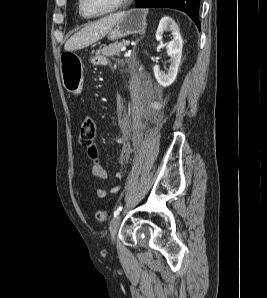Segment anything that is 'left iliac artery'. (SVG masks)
Here are the masks:
<instances>
[{
	"instance_id": "1",
	"label": "left iliac artery",
	"mask_w": 267,
	"mask_h": 298,
	"mask_svg": "<svg viewBox=\"0 0 267 298\" xmlns=\"http://www.w3.org/2000/svg\"><path fill=\"white\" fill-rule=\"evenodd\" d=\"M122 210V205L118 206L117 209L114 211V217H116L117 215H119V213Z\"/></svg>"
}]
</instances>
